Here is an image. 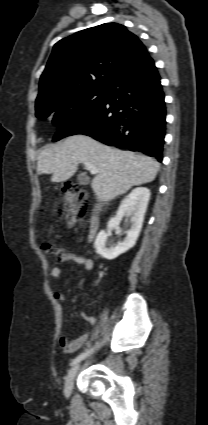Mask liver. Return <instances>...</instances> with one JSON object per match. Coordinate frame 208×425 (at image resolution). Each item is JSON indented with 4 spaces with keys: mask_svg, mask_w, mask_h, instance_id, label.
I'll list each match as a JSON object with an SVG mask.
<instances>
[{
    "mask_svg": "<svg viewBox=\"0 0 208 425\" xmlns=\"http://www.w3.org/2000/svg\"><path fill=\"white\" fill-rule=\"evenodd\" d=\"M85 162L99 169L91 187L97 199L104 202L133 186L152 182L160 167L151 157L103 145L89 136L73 135L41 151L37 174H52V182H62L70 179L78 165Z\"/></svg>",
    "mask_w": 208,
    "mask_h": 425,
    "instance_id": "1",
    "label": "liver"
}]
</instances>
